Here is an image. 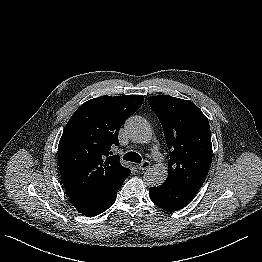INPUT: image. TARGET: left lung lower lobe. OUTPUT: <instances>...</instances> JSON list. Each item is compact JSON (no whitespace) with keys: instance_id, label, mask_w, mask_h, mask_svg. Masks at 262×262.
I'll use <instances>...</instances> for the list:
<instances>
[{"instance_id":"obj_1","label":"left lung lower lobe","mask_w":262,"mask_h":262,"mask_svg":"<svg viewBox=\"0 0 262 262\" xmlns=\"http://www.w3.org/2000/svg\"><path fill=\"white\" fill-rule=\"evenodd\" d=\"M196 193L166 181L161 186L149 190L151 200L167 212L182 209L190 203Z\"/></svg>"}]
</instances>
